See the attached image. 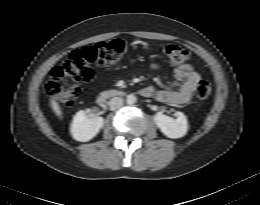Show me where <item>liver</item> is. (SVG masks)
I'll return each mask as SVG.
<instances>
[{
	"label": "liver",
	"instance_id": "6515ba94",
	"mask_svg": "<svg viewBox=\"0 0 260 205\" xmlns=\"http://www.w3.org/2000/svg\"><path fill=\"white\" fill-rule=\"evenodd\" d=\"M50 104H51V108L53 109L54 113H55L59 118H62V110H61L59 104H58L53 98H51Z\"/></svg>",
	"mask_w": 260,
	"mask_h": 205
}]
</instances>
